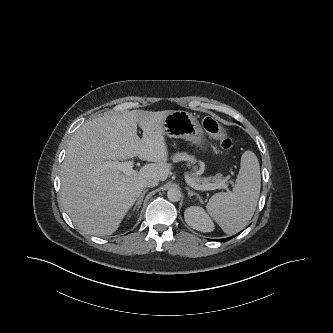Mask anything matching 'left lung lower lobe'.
I'll return each mask as SVG.
<instances>
[{"label":"left lung lower lobe","mask_w":333,"mask_h":333,"mask_svg":"<svg viewBox=\"0 0 333 333\" xmlns=\"http://www.w3.org/2000/svg\"><path fill=\"white\" fill-rule=\"evenodd\" d=\"M236 235H237V234H236ZM236 235H234V236H232V237H229V238H224V239H221V241H222V242H226V241H228V240L232 239L233 237H235Z\"/></svg>","instance_id":"1"}]
</instances>
